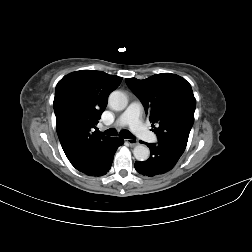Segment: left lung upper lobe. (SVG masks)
Listing matches in <instances>:
<instances>
[{
	"label": "left lung upper lobe",
	"instance_id": "obj_1",
	"mask_svg": "<svg viewBox=\"0 0 252 252\" xmlns=\"http://www.w3.org/2000/svg\"><path fill=\"white\" fill-rule=\"evenodd\" d=\"M125 81L142 102L158 141L170 142L185 150L196 107L189 82L171 73Z\"/></svg>",
	"mask_w": 252,
	"mask_h": 252
}]
</instances>
